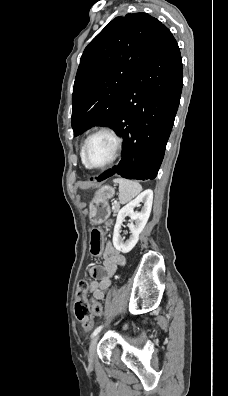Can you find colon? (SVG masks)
<instances>
[{
    "label": "colon",
    "mask_w": 228,
    "mask_h": 396,
    "mask_svg": "<svg viewBox=\"0 0 228 396\" xmlns=\"http://www.w3.org/2000/svg\"><path fill=\"white\" fill-rule=\"evenodd\" d=\"M103 245V231L101 227H96L91 232L90 252L94 256H99ZM89 284L87 280H80L77 285L76 299L74 303V313L76 319L85 330H90L93 326L92 317L98 316L102 312L101 305L90 302L87 298Z\"/></svg>",
    "instance_id": "5ec220e1"
}]
</instances>
